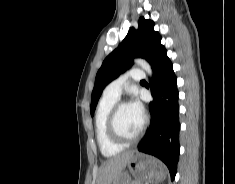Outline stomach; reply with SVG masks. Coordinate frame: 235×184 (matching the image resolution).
Here are the masks:
<instances>
[{
	"instance_id": "1",
	"label": "stomach",
	"mask_w": 235,
	"mask_h": 184,
	"mask_svg": "<svg viewBox=\"0 0 235 184\" xmlns=\"http://www.w3.org/2000/svg\"><path fill=\"white\" fill-rule=\"evenodd\" d=\"M127 168L130 174L138 180V184L140 182H155V184H158V182H163L167 176L166 168L162 164L153 162L151 158L143 156L139 152H134L127 164ZM130 182L131 178L128 172H120L111 184H130Z\"/></svg>"
}]
</instances>
